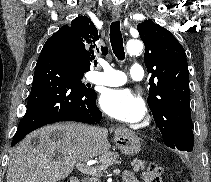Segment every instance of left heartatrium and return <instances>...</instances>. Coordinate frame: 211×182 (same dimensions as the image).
<instances>
[{"mask_svg":"<svg viewBox=\"0 0 211 182\" xmlns=\"http://www.w3.org/2000/svg\"><path fill=\"white\" fill-rule=\"evenodd\" d=\"M101 108L112 118L126 123H136L145 114L142 99L128 89H107L100 96Z\"/></svg>","mask_w":211,"mask_h":182,"instance_id":"left-heart-atrium-1","label":"left heart atrium"}]
</instances>
